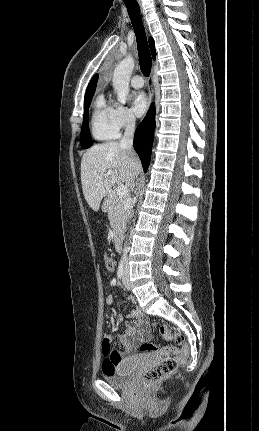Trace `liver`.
Returning <instances> with one entry per match:
<instances>
[{
  "instance_id": "6515ba94",
  "label": "liver",
  "mask_w": 259,
  "mask_h": 431,
  "mask_svg": "<svg viewBox=\"0 0 259 431\" xmlns=\"http://www.w3.org/2000/svg\"><path fill=\"white\" fill-rule=\"evenodd\" d=\"M141 168L137 155L121 148L117 142L98 144L88 149L81 160L82 190L88 205L97 211L101 200L115 183L132 186ZM108 171L112 174L101 180Z\"/></svg>"
}]
</instances>
